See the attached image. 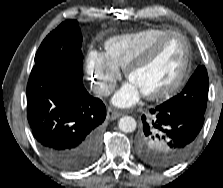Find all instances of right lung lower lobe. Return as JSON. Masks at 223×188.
Returning a JSON list of instances; mask_svg holds the SVG:
<instances>
[{
  "mask_svg": "<svg viewBox=\"0 0 223 188\" xmlns=\"http://www.w3.org/2000/svg\"><path fill=\"white\" fill-rule=\"evenodd\" d=\"M105 117V105L83 82L56 69L31 71L28 122L43 154L58 168L78 171L97 158Z\"/></svg>",
  "mask_w": 223,
  "mask_h": 188,
  "instance_id": "1",
  "label": "right lung lower lobe"
}]
</instances>
